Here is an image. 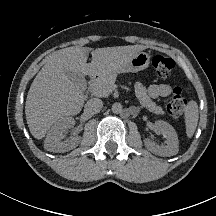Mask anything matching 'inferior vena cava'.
Wrapping results in <instances>:
<instances>
[{
	"mask_svg": "<svg viewBox=\"0 0 216 216\" xmlns=\"http://www.w3.org/2000/svg\"><path fill=\"white\" fill-rule=\"evenodd\" d=\"M102 107H103V102L98 98H92L88 100L87 103L85 104V109L89 113H98L102 109Z\"/></svg>",
	"mask_w": 216,
	"mask_h": 216,
	"instance_id": "obj_1",
	"label": "inferior vena cava"
}]
</instances>
